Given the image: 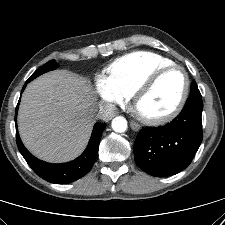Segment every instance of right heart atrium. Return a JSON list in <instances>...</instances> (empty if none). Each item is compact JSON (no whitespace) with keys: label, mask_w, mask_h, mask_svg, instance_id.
Wrapping results in <instances>:
<instances>
[{"label":"right heart atrium","mask_w":225,"mask_h":225,"mask_svg":"<svg viewBox=\"0 0 225 225\" xmlns=\"http://www.w3.org/2000/svg\"><path fill=\"white\" fill-rule=\"evenodd\" d=\"M95 92L103 102L114 106L125 104L128 98L112 84L108 77L103 75H98L95 79Z\"/></svg>","instance_id":"1"}]
</instances>
